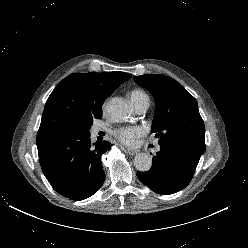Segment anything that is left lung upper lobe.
Segmentation results:
<instances>
[{
    "label": "left lung upper lobe",
    "mask_w": 248,
    "mask_h": 248,
    "mask_svg": "<svg viewBox=\"0 0 248 248\" xmlns=\"http://www.w3.org/2000/svg\"><path fill=\"white\" fill-rule=\"evenodd\" d=\"M134 80L155 99L151 131L159 137L160 147L177 150L198 164L205 152V127L197 100L176 80L161 74L135 76Z\"/></svg>",
    "instance_id": "5c2ea615"
}]
</instances>
